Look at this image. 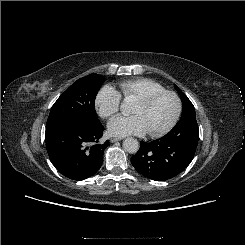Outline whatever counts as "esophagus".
<instances>
[{"label": "esophagus", "mask_w": 245, "mask_h": 245, "mask_svg": "<svg viewBox=\"0 0 245 245\" xmlns=\"http://www.w3.org/2000/svg\"><path fill=\"white\" fill-rule=\"evenodd\" d=\"M122 139L121 138H111V142L112 143H115V142H117V141H121Z\"/></svg>", "instance_id": "esophagus-1"}]
</instances>
